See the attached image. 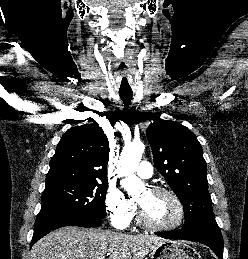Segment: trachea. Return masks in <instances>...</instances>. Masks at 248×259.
<instances>
[{"mask_svg": "<svg viewBox=\"0 0 248 259\" xmlns=\"http://www.w3.org/2000/svg\"><path fill=\"white\" fill-rule=\"evenodd\" d=\"M120 95V98L122 99V101L124 102V105L126 107L129 106V104L131 103V100H132V96H133V93L132 92H121L119 93Z\"/></svg>", "mask_w": 248, "mask_h": 259, "instance_id": "obj_1", "label": "trachea"}]
</instances>
